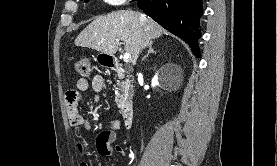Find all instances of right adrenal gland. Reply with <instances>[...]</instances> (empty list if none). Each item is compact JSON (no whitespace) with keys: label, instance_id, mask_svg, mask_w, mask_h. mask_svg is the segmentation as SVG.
Wrapping results in <instances>:
<instances>
[{"label":"right adrenal gland","instance_id":"right-adrenal-gland-1","mask_svg":"<svg viewBox=\"0 0 277 166\" xmlns=\"http://www.w3.org/2000/svg\"><path fill=\"white\" fill-rule=\"evenodd\" d=\"M150 53H156V51H154V49L152 48V44L149 46L148 53L143 57V60H145Z\"/></svg>","mask_w":277,"mask_h":166}]
</instances>
